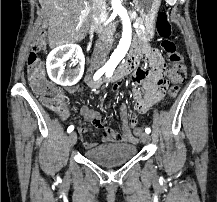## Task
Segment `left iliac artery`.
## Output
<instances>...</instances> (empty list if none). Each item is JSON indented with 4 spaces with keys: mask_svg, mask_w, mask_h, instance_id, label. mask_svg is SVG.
I'll use <instances>...</instances> for the list:
<instances>
[{
    "mask_svg": "<svg viewBox=\"0 0 217 202\" xmlns=\"http://www.w3.org/2000/svg\"><path fill=\"white\" fill-rule=\"evenodd\" d=\"M145 132H146L147 134H149V133L151 132V129H150V128H146V129H145Z\"/></svg>",
    "mask_w": 217,
    "mask_h": 202,
    "instance_id": "left-iliac-artery-1",
    "label": "left iliac artery"
}]
</instances>
